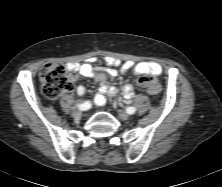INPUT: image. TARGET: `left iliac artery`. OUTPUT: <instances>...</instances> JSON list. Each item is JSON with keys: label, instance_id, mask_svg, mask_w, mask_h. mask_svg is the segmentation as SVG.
Wrapping results in <instances>:
<instances>
[{"label": "left iliac artery", "instance_id": "44dca946", "mask_svg": "<svg viewBox=\"0 0 222 187\" xmlns=\"http://www.w3.org/2000/svg\"><path fill=\"white\" fill-rule=\"evenodd\" d=\"M126 111L128 114H134L136 112V108L135 107H127Z\"/></svg>", "mask_w": 222, "mask_h": 187}]
</instances>
